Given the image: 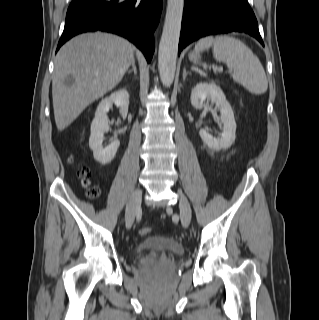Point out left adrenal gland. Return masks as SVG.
Masks as SVG:
<instances>
[{"instance_id":"a2214340","label":"left adrenal gland","mask_w":319,"mask_h":320,"mask_svg":"<svg viewBox=\"0 0 319 320\" xmlns=\"http://www.w3.org/2000/svg\"><path fill=\"white\" fill-rule=\"evenodd\" d=\"M189 72L186 71V68L183 69V80L186 79V76Z\"/></svg>"}]
</instances>
